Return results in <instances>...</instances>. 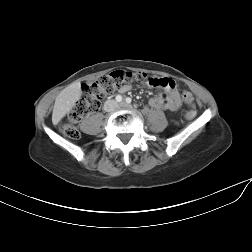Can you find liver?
<instances>
[{
	"instance_id": "liver-1",
	"label": "liver",
	"mask_w": 252,
	"mask_h": 252,
	"mask_svg": "<svg viewBox=\"0 0 252 252\" xmlns=\"http://www.w3.org/2000/svg\"><path fill=\"white\" fill-rule=\"evenodd\" d=\"M82 95L81 83L75 82L63 89L56 97L52 122L57 125L68 114Z\"/></svg>"
}]
</instances>
